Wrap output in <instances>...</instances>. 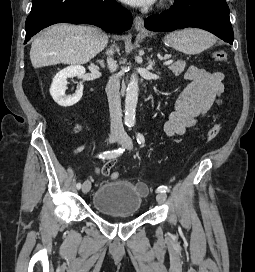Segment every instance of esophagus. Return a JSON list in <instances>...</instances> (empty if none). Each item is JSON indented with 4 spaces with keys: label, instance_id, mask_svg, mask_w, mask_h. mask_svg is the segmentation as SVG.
<instances>
[{
    "label": "esophagus",
    "instance_id": "obj_1",
    "mask_svg": "<svg viewBox=\"0 0 255 272\" xmlns=\"http://www.w3.org/2000/svg\"><path fill=\"white\" fill-rule=\"evenodd\" d=\"M134 27L137 31L145 32L144 29V20L140 16H136L134 19Z\"/></svg>",
    "mask_w": 255,
    "mask_h": 272
}]
</instances>
